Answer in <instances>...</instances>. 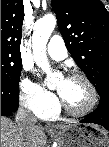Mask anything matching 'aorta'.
I'll return each mask as SVG.
<instances>
[{"label":"aorta","mask_w":109,"mask_h":147,"mask_svg":"<svg viewBox=\"0 0 109 147\" xmlns=\"http://www.w3.org/2000/svg\"><path fill=\"white\" fill-rule=\"evenodd\" d=\"M55 25V16L47 14L36 21L32 35L34 60L36 64L47 74L48 84L55 82L58 78V74L51 71L46 55V46Z\"/></svg>","instance_id":"1"}]
</instances>
